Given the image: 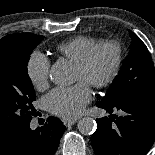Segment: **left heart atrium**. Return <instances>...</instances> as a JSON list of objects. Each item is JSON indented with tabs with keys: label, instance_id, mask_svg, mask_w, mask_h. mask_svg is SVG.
Segmentation results:
<instances>
[{
	"label": "left heart atrium",
	"instance_id": "1",
	"mask_svg": "<svg viewBox=\"0 0 155 155\" xmlns=\"http://www.w3.org/2000/svg\"><path fill=\"white\" fill-rule=\"evenodd\" d=\"M91 98L89 86L81 81L71 87H58L52 90L45 97V102L53 114L73 119L83 112Z\"/></svg>",
	"mask_w": 155,
	"mask_h": 155
}]
</instances>
